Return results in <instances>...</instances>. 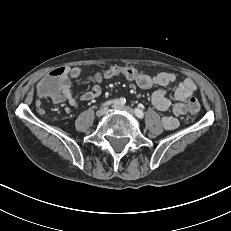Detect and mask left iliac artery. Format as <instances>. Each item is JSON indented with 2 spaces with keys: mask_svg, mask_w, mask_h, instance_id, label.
<instances>
[{
  "mask_svg": "<svg viewBox=\"0 0 231 231\" xmlns=\"http://www.w3.org/2000/svg\"><path fill=\"white\" fill-rule=\"evenodd\" d=\"M134 112H135V114H136V116H137L138 118L142 119V118L144 117V113H143V111H142L141 109L135 108V109H134Z\"/></svg>",
  "mask_w": 231,
  "mask_h": 231,
  "instance_id": "left-iliac-artery-1",
  "label": "left iliac artery"
}]
</instances>
